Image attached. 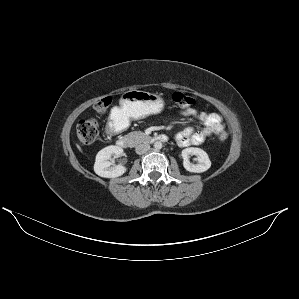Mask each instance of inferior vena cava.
<instances>
[{
  "instance_id": "inferior-vena-cava-1",
  "label": "inferior vena cava",
  "mask_w": 299,
  "mask_h": 299,
  "mask_svg": "<svg viewBox=\"0 0 299 299\" xmlns=\"http://www.w3.org/2000/svg\"><path fill=\"white\" fill-rule=\"evenodd\" d=\"M150 149V145L147 143L138 144L135 148L137 154L141 155L146 153Z\"/></svg>"
}]
</instances>
